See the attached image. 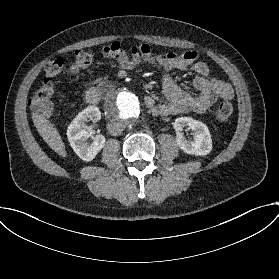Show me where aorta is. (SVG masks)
<instances>
[{"mask_svg":"<svg viewBox=\"0 0 279 279\" xmlns=\"http://www.w3.org/2000/svg\"><path fill=\"white\" fill-rule=\"evenodd\" d=\"M141 110L139 98L128 90H117L109 94L105 102V114L111 123L129 126L138 118Z\"/></svg>","mask_w":279,"mask_h":279,"instance_id":"aorta-1","label":"aorta"}]
</instances>
